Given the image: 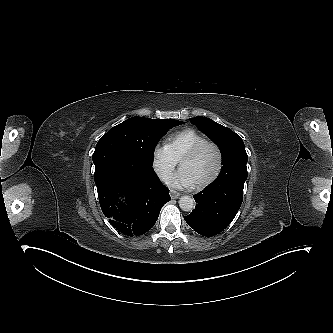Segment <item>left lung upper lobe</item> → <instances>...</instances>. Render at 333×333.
Wrapping results in <instances>:
<instances>
[{
	"label": "left lung upper lobe",
	"mask_w": 333,
	"mask_h": 333,
	"mask_svg": "<svg viewBox=\"0 0 333 333\" xmlns=\"http://www.w3.org/2000/svg\"><path fill=\"white\" fill-rule=\"evenodd\" d=\"M190 121L220 148L224 166L216 180L222 183L243 184L248 174V157L241 137L206 117H194L190 118Z\"/></svg>",
	"instance_id": "5c2ea615"
}]
</instances>
